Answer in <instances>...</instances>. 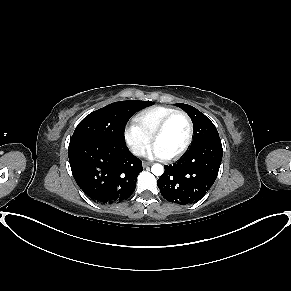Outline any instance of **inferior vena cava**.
<instances>
[{"mask_svg":"<svg viewBox=\"0 0 291 291\" xmlns=\"http://www.w3.org/2000/svg\"><path fill=\"white\" fill-rule=\"evenodd\" d=\"M133 153L135 154V155H138V156H140V155H143L144 154V149L142 148V147H140V146H135V147H133Z\"/></svg>","mask_w":291,"mask_h":291,"instance_id":"obj_1","label":"inferior vena cava"}]
</instances>
